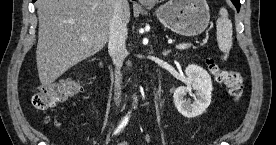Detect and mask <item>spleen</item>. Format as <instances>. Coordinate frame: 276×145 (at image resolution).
Returning <instances> with one entry per match:
<instances>
[{
	"label": "spleen",
	"mask_w": 276,
	"mask_h": 145,
	"mask_svg": "<svg viewBox=\"0 0 276 145\" xmlns=\"http://www.w3.org/2000/svg\"><path fill=\"white\" fill-rule=\"evenodd\" d=\"M219 15L216 22L217 43L220 51L224 53L222 59L226 60L232 47V23L228 18V11L224 7L220 9Z\"/></svg>",
	"instance_id": "1"
}]
</instances>
